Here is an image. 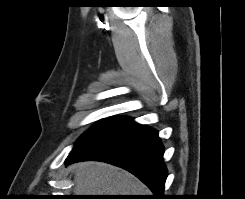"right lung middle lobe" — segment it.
I'll return each mask as SVG.
<instances>
[{"mask_svg":"<svg viewBox=\"0 0 245 199\" xmlns=\"http://www.w3.org/2000/svg\"><path fill=\"white\" fill-rule=\"evenodd\" d=\"M126 119L127 118L124 117H116L115 119H105L100 121L96 126L80 137L70 155L99 140Z\"/></svg>","mask_w":245,"mask_h":199,"instance_id":"obj_1","label":"right lung middle lobe"}]
</instances>
